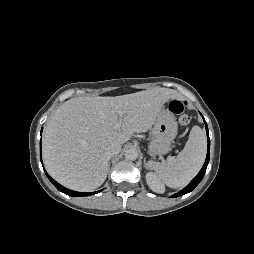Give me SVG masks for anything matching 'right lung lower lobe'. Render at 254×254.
I'll return each mask as SVG.
<instances>
[{
    "label": "right lung lower lobe",
    "instance_id": "98d812e1",
    "mask_svg": "<svg viewBox=\"0 0 254 254\" xmlns=\"http://www.w3.org/2000/svg\"><path fill=\"white\" fill-rule=\"evenodd\" d=\"M40 159H41V162H42V158H41V141H40ZM45 171V170H44ZM47 177L49 178V180L52 182V184L61 192L69 195V196H72V197H78V196H89V195H94V194H97L98 192L100 191H97V192H89V193H83V192H76V191H72L70 189H67L65 187H63L62 185H60L59 183H57L55 180H53L49 175L48 173L45 171Z\"/></svg>",
    "mask_w": 254,
    "mask_h": 254
}]
</instances>
